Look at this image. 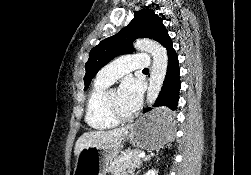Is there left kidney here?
I'll return each mask as SVG.
<instances>
[{
  "instance_id": "obj_1",
  "label": "left kidney",
  "mask_w": 251,
  "mask_h": 175,
  "mask_svg": "<svg viewBox=\"0 0 251 175\" xmlns=\"http://www.w3.org/2000/svg\"><path fill=\"white\" fill-rule=\"evenodd\" d=\"M145 175H158V171H157V169H148V171H146Z\"/></svg>"
}]
</instances>
